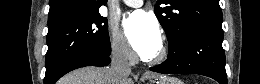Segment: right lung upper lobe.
<instances>
[{
  "label": "right lung upper lobe",
  "instance_id": "right-lung-upper-lobe-1",
  "mask_svg": "<svg viewBox=\"0 0 260 84\" xmlns=\"http://www.w3.org/2000/svg\"><path fill=\"white\" fill-rule=\"evenodd\" d=\"M107 0H50L48 28L99 12Z\"/></svg>",
  "mask_w": 260,
  "mask_h": 84
}]
</instances>
